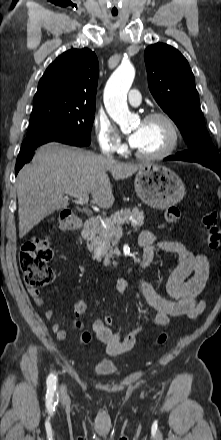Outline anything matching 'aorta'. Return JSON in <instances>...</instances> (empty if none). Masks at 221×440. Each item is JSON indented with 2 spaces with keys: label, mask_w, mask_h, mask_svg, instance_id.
<instances>
[{
  "label": "aorta",
  "mask_w": 221,
  "mask_h": 440,
  "mask_svg": "<svg viewBox=\"0 0 221 440\" xmlns=\"http://www.w3.org/2000/svg\"><path fill=\"white\" fill-rule=\"evenodd\" d=\"M135 70L127 62H123L110 76L104 89V105L109 116L121 127L125 128L132 120L127 105V93L133 83Z\"/></svg>",
  "instance_id": "762f6f07"
}]
</instances>
